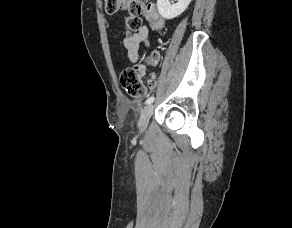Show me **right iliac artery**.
I'll use <instances>...</instances> for the list:
<instances>
[{"instance_id": "right-iliac-artery-1", "label": "right iliac artery", "mask_w": 292, "mask_h": 228, "mask_svg": "<svg viewBox=\"0 0 292 228\" xmlns=\"http://www.w3.org/2000/svg\"><path fill=\"white\" fill-rule=\"evenodd\" d=\"M153 101H154V97L152 96V97H150V98H148V99L146 100V104L149 105V104H151Z\"/></svg>"}]
</instances>
